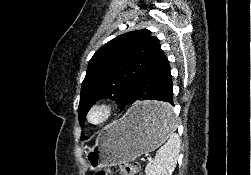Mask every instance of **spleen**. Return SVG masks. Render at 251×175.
<instances>
[{"mask_svg": "<svg viewBox=\"0 0 251 175\" xmlns=\"http://www.w3.org/2000/svg\"><path fill=\"white\" fill-rule=\"evenodd\" d=\"M158 119L161 123L163 133H166V143L158 149L155 159L146 167L147 175H171L174 171L180 151V139L177 133L173 115L170 109H157Z\"/></svg>", "mask_w": 251, "mask_h": 175, "instance_id": "1", "label": "spleen"}]
</instances>
